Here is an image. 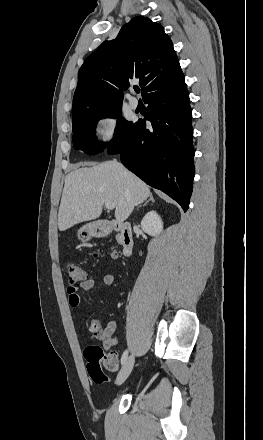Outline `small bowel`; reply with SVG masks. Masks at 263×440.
<instances>
[{
    "mask_svg": "<svg viewBox=\"0 0 263 440\" xmlns=\"http://www.w3.org/2000/svg\"><path fill=\"white\" fill-rule=\"evenodd\" d=\"M115 281V276L113 274H104L99 280L94 278L85 279L80 283L79 286L68 287L69 302L74 308H77L81 302V296L79 290L91 291L98 283L103 286H111ZM87 330L99 337L102 342L103 347L106 350L117 347L120 341L114 336L116 331V322L110 320L105 326H102L101 320L95 319L88 323Z\"/></svg>",
    "mask_w": 263,
    "mask_h": 440,
    "instance_id": "c3829d8e",
    "label": "small bowel"
}]
</instances>
